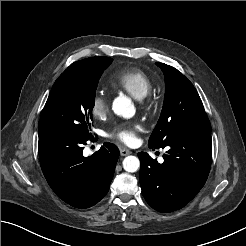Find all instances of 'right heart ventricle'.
Here are the masks:
<instances>
[{
  "instance_id": "1",
  "label": "right heart ventricle",
  "mask_w": 246,
  "mask_h": 246,
  "mask_svg": "<svg viewBox=\"0 0 246 246\" xmlns=\"http://www.w3.org/2000/svg\"><path fill=\"white\" fill-rule=\"evenodd\" d=\"M111 84L138 100L145 98L153 87L150 77L137 68L123 69L116 72L112 76Z\"/></svg>"
}]
</instances>
